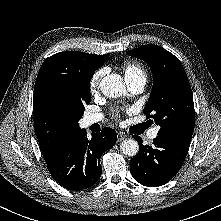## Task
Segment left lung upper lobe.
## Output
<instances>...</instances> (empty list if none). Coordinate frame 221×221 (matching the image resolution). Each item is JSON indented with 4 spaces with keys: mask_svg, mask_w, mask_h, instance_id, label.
<instances>
[{
    "mask_svg": "<svg viewBox=\"0 0 221 221\" xmlns=\"http://www.w3.org/2000/svg\"><path fill=\"white\" fill-rule=\"evenodd\" d=\"M127 54L146 61L153 73L152 92L143 112L160 126L158 135L190 145L195 124L194 103L179 59L153 44L128 50Z\"/></svg>",
    "mask_w": 221,
    "mask_h": 221,
    "instance_id": "5c2ea615",
    "label": "left lung upper lobe"
}]
</instances>
